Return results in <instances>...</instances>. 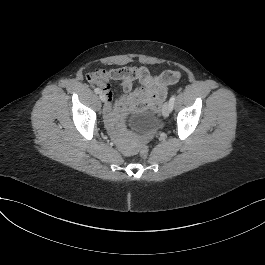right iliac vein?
<instances>
[{"mask_svg": "<svg viewBox=\"0 0 265 265\" xmlns=\"http://www.w3.org/2000/svg\"><path fill=\"white\" fill-rule=\"evenodd\" d=\"M99 98H100V100H101L102 102H105V101H106V96H105L103 93H101V94L99 95Z\"/></svg>", "mask_w": 265, "mask_h": 265, "instance_id": "1", "label": "right iliac vein"}]
</instances>
